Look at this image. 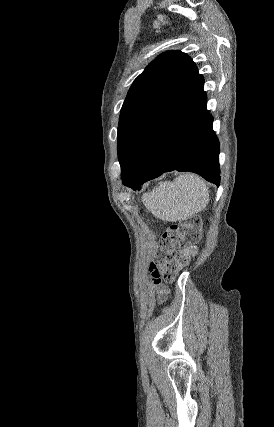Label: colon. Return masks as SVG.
Segmentation results:
<instances>
[{"label": "colon", "mask_w": 274, "mask_h": 427, "mask_svg": "<svg viewBox=\"0 0 274 427\" xmlns=\"http://www.w3.org/2000/svg\"><path fill=\"white\" fill-rule=\"evenodd\" d=\"M199 238L200 219L194 215L170 224L163 235L161 248H182L183 254H194L195 256Z\"/></svg>", "instance_id": "colon-1"}]
</instances>
